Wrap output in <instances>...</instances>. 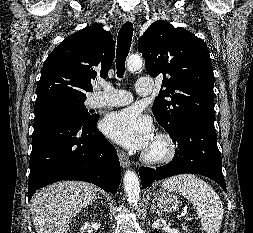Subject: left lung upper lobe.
Listing matches in <instances>:
<instances>
[{"instance_id":"1","label":"left lung upper lobe","mask_w":253,"mask_h":233,"mask_svg":"<svg viewBox=\"0 0 253 233\" xmlns=\"http://www.w3.org/2000/svg\"><path fill=\"white\" fill-rule=\"evenodd\" d=\"M146 71L163 74L161 90L152 111L171 138L184 122L199 117L214 120V74L203 42L184 28L158 20L138 42Z\"/></svg>"}]
</instances>
